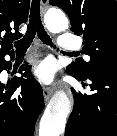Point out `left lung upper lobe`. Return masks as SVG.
<instances>
[{
    "label": "left lung upper lobe",
    "mask_w": 117,
    "mask_h": 136,
    "mask_svg": "<svg viewBox=\"0 0 117 136\" xmlns=\"http://www.w3.org/2000/svg\"><path fill=\"white\" fill-rule=\"evenodd\" d=\"M70 18L71 30L83 35V53L90 61L77 60L67 68L75 76L85 78L100 66H117V3L116 0H50Z\"/></svg>",
    "instance_id": "1"
}]
</instances>
